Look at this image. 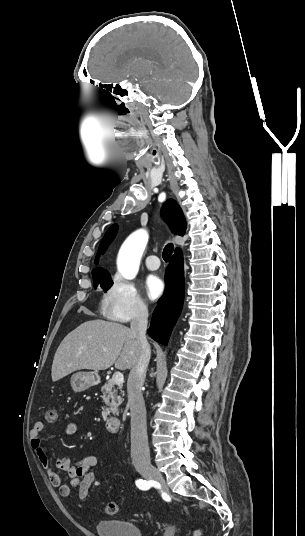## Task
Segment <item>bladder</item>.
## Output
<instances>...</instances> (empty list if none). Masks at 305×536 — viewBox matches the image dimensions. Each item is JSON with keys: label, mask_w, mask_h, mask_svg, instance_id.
<instances>
[{"label": "bladder", "mask_w": 305, "mask_h": 536, "mask_svg": "<svg viewBox=\"0 0 305 536\" xmlns=\"http://www.w3.org/2000/svg\"><path fill=\"white\" fill-rule=\"evenodd\" d=\"M97 536H150L143 533L142 528L134 522L122 519H98L95 524Z\"/></svg>", "instance_id": "31cf9c89"}]
</instances>
